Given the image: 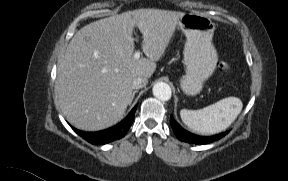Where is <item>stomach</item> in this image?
I'll return each mask as SVG.
<instances>
[{"instance_id": "obj_1", "label": "stomach", "mask_w": 288, "mask_h": 181, "mask_svg": "<svg viewBox=\"0 0 288 181\" xmlns=\"http://www.w3.org/2000/svg\"><path fill=\"white\" fill-rule=\"evenodd\" d=\"M178 25L187 38L183 52L186 74L180 79V87L186 95L194 96L201 92L217 65L218 55L212 44L215 24L204 15L184 13Z\"/></svg>"}]
</instances>
